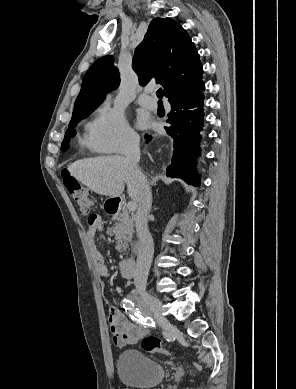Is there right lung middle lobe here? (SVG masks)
Wrapping results in <instances>:
<instances>
[{
  "label": "right lung middle lobe",
  "mask_w": 296,
  "mask_h": 389,
  "mask_svg": "<svg viewBox=\"0 0 296 389\" xmlns=\"http://www.w3.org/2000/svg\"><path fill=\"white\" fill-rule=\"evenodd\" d=\"M96 107H88V108H84L76 113H73L72 115V119L69 123V128L67 129L66 133H65V137H64V140L61 144V150L62 151H66L69 146H68V143L70 141V138L74 137L75 134H76V131L73 129V127L76 126V124L83 118L87 117L88 115H90L94 109Z\"/></svg>",
  "instance_id": "obj_1"
}]
</instances>
